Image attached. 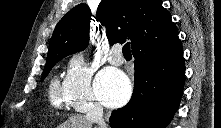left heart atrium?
I'll return each instance as SVG.
<instances>
[{
  "mask_svg": "<svg viewBox=\"0 0 221 128\" xmlns=\"http://www.w3.org/2000/svg\"><path fill=\"white\" fill-rule=\"evenodd\" d=\"M95 92L104 105L117 107L128 101L131 84L121 71L107 68L97 76Z\"/></svg>",
  "mask_w": 221,
  "mask_h": 128,
  "instance_id": "left-heart-atrium-1",
  "label": "left heart atrium"
}]
</instances>
